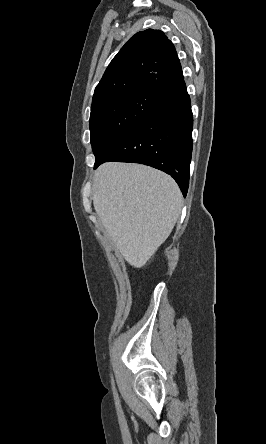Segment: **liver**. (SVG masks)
<instances>
[{
  "instance_id": "obj_1",
  "label": "liver",
  "mask_w": 266,
  "mask_h": 444,
  "mask_svg": "<svg viewBox=\"0 0 266 444\" xmlns=\"http://www.w3.org/2000/svg\"><path fill=\"white\" fill-rule=\"evenodd\" d=\"M94 209L123 258L143 266L172 232L182 194L169 175L141 164L109 162L93 180Z\"/></svg>"
}]
</instances>
